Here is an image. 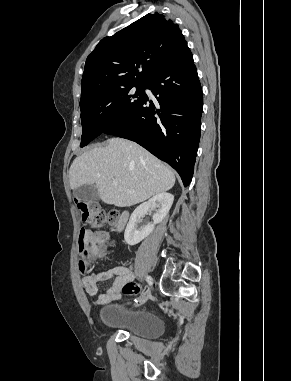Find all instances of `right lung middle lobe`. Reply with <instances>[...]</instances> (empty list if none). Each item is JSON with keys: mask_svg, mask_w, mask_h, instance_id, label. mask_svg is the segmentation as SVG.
Masks as SVG:
<instances>
[{"mask_svg": "<svg viewBox=\"0 0 291 381\" xmlns=\"http://www.w3.org/2000/svg\"><path fill=\"white\" fill-rule=\"evenodd\" d=\"M145 88L146 83L115 87L80 104L83 128L80 147L86 146L106 129L133 114L145 98Z\"/></svg>", "mask_w": 291, "mask_h": 381, "instance_id": "right-lung-middle-lobe-1", "label": "right lung middle lobe"}]
</instances>
